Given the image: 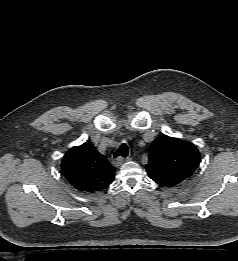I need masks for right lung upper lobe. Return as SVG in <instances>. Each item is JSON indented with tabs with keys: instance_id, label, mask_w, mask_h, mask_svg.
<instances>
[{
	"instance_id": "1",
	"label": "right lung upper lobe",
	"mask_w": 238,
	"mask_h": 261,
	"mask_svg": "<svg viewBox=\"0 0 238 261\" xmlns=\"http://www.w3.org/2000/svg\"><path fill=\"white\" fill-rule=\"evenodd\" d=\"M61 169L79 191L94 193L109 186L115 168L90 143L73 147L63 157Z\"/></svg>"
}]
</instances>
